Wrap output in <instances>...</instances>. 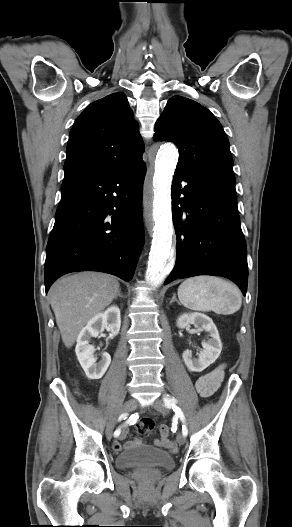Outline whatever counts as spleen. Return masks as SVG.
Wrapping results in <instances>:
<instances>
[{
	"label": "spleen",
	"instance_id": "obj_1",
	"mask_svg": "<svg viewBox=\"0 0 292 527\" xmlns=\"http://www.w3.org/2000/svg\"><path fill=\"white\" fill-rule=\"evenodd\" d=\"M178 298L186 308L232 314L242 305L240 290L233 284L214 276H196L183 281Z\"/></svg>",
	"mask_w": 292,
	"mask_h": 527
}]
</instances>
